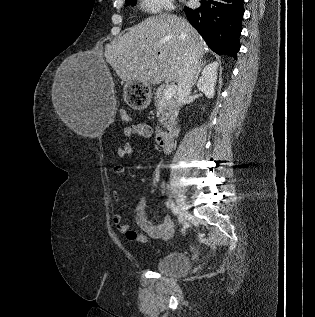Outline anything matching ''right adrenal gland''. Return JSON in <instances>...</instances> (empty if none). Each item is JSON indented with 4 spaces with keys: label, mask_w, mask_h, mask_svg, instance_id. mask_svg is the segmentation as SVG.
<instances>
[{
    "label": "right adrenal gland",
    "mask_w": 315,
    "mask_h": 317,
    "mask_svg": "<svg viewBox=\"0 0 315 317\" xmlns=\"http://www.w3.org/2000/svg\"><path fill=\"white\" fill-rule=\"evenodd\" d=\"M207 61H203V55L201 56V59H200V62H199V65H198V69H197V72H196V75H195V79H194V84H196L197 80H198V76L202 70V68L206 65Z\"/></svg>",
    "instance_id": "obj_1"
}]
</instances>
